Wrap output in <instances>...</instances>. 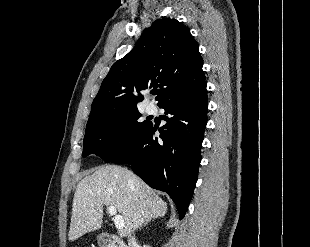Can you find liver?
Listing matches in <instances>:
<instances>
[{"label": "liver", "mask_w": 310, "mask_h": 247, "mask_svg": "<svg viewBox=\"0 0 310 247\" xmlns=\"http://www.w3.org/2000/svg\"><path fill=\"white\" fill-rule=\"evenodd\" d=\"M103 206H115L121 214L125 226L120 237L131 236L134 230L167 212V203L127 168L100 166L77 185L69 241L101 227Z\"/></svg>", "instance_id": "1"}]
</instances>
